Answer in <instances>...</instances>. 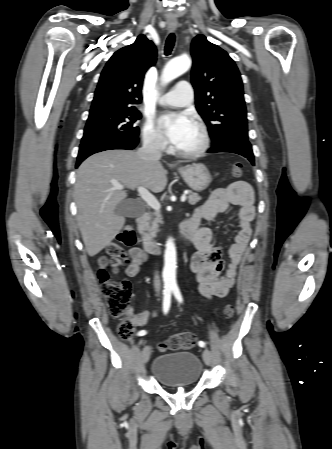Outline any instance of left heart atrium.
<instances>
[{"instance_id": "left-heart-atrium-1", "label": "left heart atrium", "mask_w": 332, "mask_h": 449, "mask_svg": "<svg viewBox=\"0 0 332 449\" xmlns=\"http://www.w3.org/2000/svg\"><path fill=\"white\" fill-rule=\"evenodd\" d=\"M159 124L169 141L178 147L195 126L187 113L164 114L159 118Z\"/></svg>"}]
</instances>
